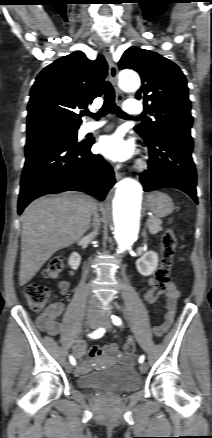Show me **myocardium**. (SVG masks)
I'll return each mask as SVG.
<instances>
[{"label": "myocardium", "instance_id": "f54148a6", "mask_svg": "<svg viewBox=\"0 0 212 438\" xmlns=\"http://www.w3.org/2000/svg\"><path fill=\"white\" fill-rule=\"evenodd\" d=\"M137 169L138 170H143V169H145L146 168V163L144 162V161H139L138 163H137Z\"/></svg>", "mask_w": 212, "mask_h": 438}]
</instances>
